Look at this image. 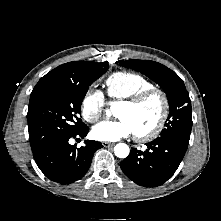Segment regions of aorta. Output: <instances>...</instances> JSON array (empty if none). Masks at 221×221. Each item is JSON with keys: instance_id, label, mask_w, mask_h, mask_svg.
I'll list each match as a JSON object with an SVG mask.
<instances>
[{"instance_id": "obj_1", "label": "aorta", "mask_w": 221, "mask_h": 221, "mask_svg": "<svg viewBox=\"0 0 221 221\" xmlns=\"http://www.w3.org/2000/svg\"><path fill=\"white\" fill-rule=\"evenodd\" d=\"M129 152L130 149L125 143H118L114 147V153L118 158H126L129 155Z\"/></svg>"}]
</instances>
